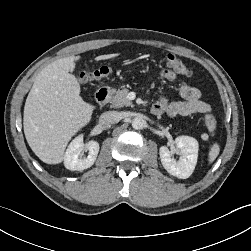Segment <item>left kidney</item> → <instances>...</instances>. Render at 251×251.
I'll use <instances>...</instances> for the list:
<instances>
[{"label": "left kidney", "instance_id": "left-kidney-1", "mask_svg": "<svg viewBox=\"0 0 251 251\" xmlns=\"http://www.w3.org/2000/svg\"><path fill=\"white\" fill-rule=\"evenodd\" d=\"M174 143L181 155L180 159L177 161L168 147L161 146L159 149L161 163L170 175L186 179L195 169L199 144L195 138L190 136H178Z\"/></svg>", "mask_w": 251, "mask_h": 251}]
</instances>
